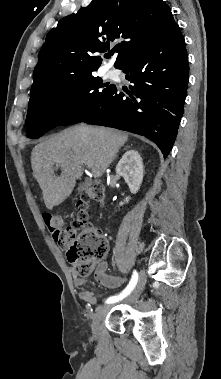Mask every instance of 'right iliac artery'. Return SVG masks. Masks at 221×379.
Segmentation results:
<instances>
[{
	"label": "right iliac artery",
	"mask_w": 221,
	"mask_h": 379,
	"mask_svg": "<svg viewBox=\"0 0 221 379\" xmlns=\"http://www.w3.org/2000/svg\"><path fill=\"white\" fill-rule=\"evenodd\" d=\"M137 281H138V273L136 271H134L132 278H131L129 284L127 285V287L118 295L111 296L108 299H106L105 303H107V304L115 303V302L122 300L126 296H128L131 293V291L135 288Z\"/></svg>",
	"instance_id": "1"
}]
</instances>
